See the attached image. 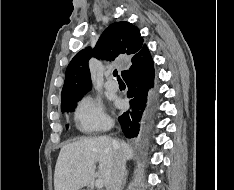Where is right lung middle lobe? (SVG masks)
Returning <instances> with one entry per match:
<instances>
[{
    "instance_id": "1",
    "label": "right lung middle lobe",
    "mask_w": 234,
    "mask_h": 190,
    "mask_svg": "<svg viewBox=\"0 0 234 190\" xmlns=\"http://www.w3.org/2000/svg\"><path fill=\"white\" fill-rule=\"evenodd\" d=\"M81 97H79L77 99H74L72 101L61 104L62 112L65 111V110L66 111H73L75 106H76V103L81 99ZM66 127L68 128V125Z\"/></svg>"
}]
</instances>
